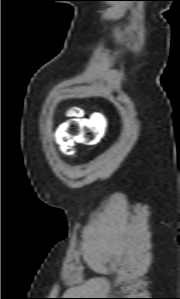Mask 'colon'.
Returning <instances> with one entry per match:
<instances>
[{
    "label": "colon",
    "instance_id": "colon-1",
    "mask_svg": "<svg viewBox=\"0 0 180 299\" xmlns=\"http://www.w3.org/2000/svg\"><path fill=\"white\" fill-rule=\"evenodd\" d=\"M104 133L105 125L86 126L82 125L78 119H72L60 125L57 131L58 141L66 153L72 152V145L76 139H80L86 144H93L98 142Z\"/></svg>",
    "mask_w": 180,
    "mask_h": 299
}]
</instances>
